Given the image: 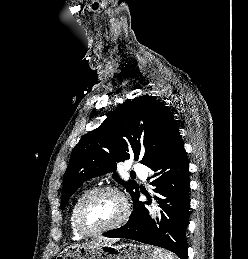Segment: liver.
<instances>
[{"label": "liver", "instance_id": "1", "mask_svg": "<svg viewBox=\"0 0 248 259\" xmlns=\"http://www.w3.org/2000/svg\"><path fill=\"white\" fill-rule=\"evenodd\" d=\"M117 241H118L117 238L100 237V238H97L96 240L90 241L88 243L79 244V245H76V246L92 248V247L104 245V244H113Z\"/></svg>", "mask_w": 248, "mask_h": 259}]
</instances>
